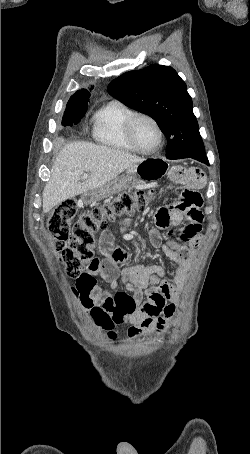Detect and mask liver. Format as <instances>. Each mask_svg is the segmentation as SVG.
Here are the masks:
<instances>
[{"instance_id": "6515ba94", "label": "liver", "mask_w": 250, "mask_h": 454, "mask_svg": "<svg viewBox=\"0 0 250 454\" xmlns=\"http://www.w3.org/2000/svg\"><path fill=\"white\" fill-rule=\"evenodd\" d=\"M145 159L128 152L87 142L65 145L56 157L43 191V213L63 201L100 188ZM90 173L81 182V176Z\"/></svg>"}]
</instances>
